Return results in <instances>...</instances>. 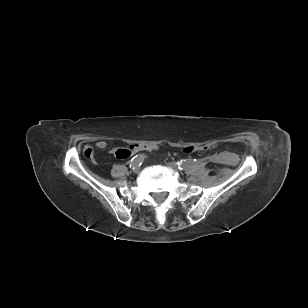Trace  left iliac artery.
Listing matches in <instances>:
<instances>
[{"label": "left iliac artery", "instance_id": "left-iliac-artery-1", "mask_svg": "<svg viewBox=\"0 0 308 308\" xmlns=\"http://www.w3.org/2000/svg\"><path fill=\"white\" fill-rule=\"evenodd\" d=\"M202 162H204L205 166H208L211 163L210 159H207L205 157H202L201 159L197 160L198 164H201ZM178 168L179 169H188V168H193L194 166H196V160H181L177 162Z\"/></svg>", "mask_w": 308, "mask_h": 308}]
</instances>
